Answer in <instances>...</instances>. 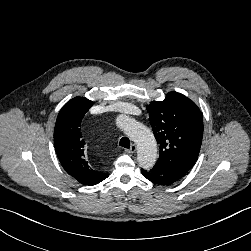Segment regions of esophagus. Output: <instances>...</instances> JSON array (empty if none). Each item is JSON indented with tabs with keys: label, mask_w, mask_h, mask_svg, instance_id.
I'll return each mask as SVG.
<instances>
[{
	"label": "esophagus",
	"mask_w": 251,
	"mask_h": 251,
	"mask_svg": "<svg viewBox=\"0 0 251 251\" xmlns=\"http://www.w3.org/2000/svg\"><path fill=\"white\" fill-rule=\"evenodd\" d=\"M128 153H135L137 151V146L135 144H132L129 149H126Z\"/></svg>",
	"instance_id": "34e87169"
}]
</instances>
